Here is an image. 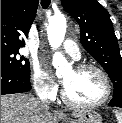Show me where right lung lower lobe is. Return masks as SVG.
<instances>
[{"instance_id": "obj_1", "label": "right lung lower lobe", "mask_w": 122, "mask_h": 123, "mask_svg": "<svg viewBox=\"0 0 122 123\" xmlns=\"http://www.w3.org/2000/svg\"><path fill=\"white\" fill-rule=\"evenodd\" d=\"M30 77L1 66V95L31 90Z\"/></svg>"}]
</instances>
